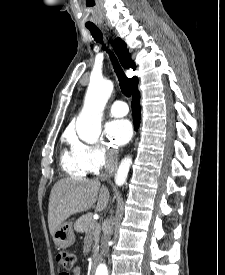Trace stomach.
Wrapping results in <instances>:
<instances>
[{
  "mask_svg": "<svg viewBox=\"0 0 225 275\" xmlns=\"http://www.w3.org/2000/svg\"><path fill=\"white\" fill-rule=\"evenodd\" d=\"M53 241L56 246L60 248H67L74 244L75 234L73 231L72 223H62L52 235Z\"/></svg>",
  "mask_w": 225,
  "mask_h": 275,
  "instance_id": "stomach-1",
  "label": "stomach"
}]
</instances>
